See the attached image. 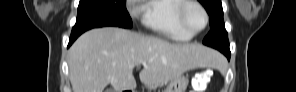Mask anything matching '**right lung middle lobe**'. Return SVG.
Masks as SVG:
<instances>
[{"label":"right lung middle lobe","instance_id":"1","mask_svg":"<svg viewBox=\"0 0 296 92\" xmlns=\"http://www.w3.org/2000/svg\"><path fill=\"white\" fill-rule=\"evenodd\" d=\"M102 26L132 27L126 0H80L72 30L84 32Z\"/></svg>","mask_w":296,"mask_h":92}]
</instances>
